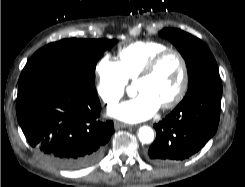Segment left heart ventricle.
<instances>
[{
    "mask_svg": "<svg viewBox=\"0 0 245 187\" xmlns=\"http://www.w3.org/2000/svg\"><path fill=\"white\" fill-rule=\"evenodd\" d=\"M180 82V62L176 56L168 55L162 59L151 76L136 82L135 88L139 93H149L161 106L177 92Z\"/></svg>",
    "mask_w": 245,
    "mask_h": 187,
    "instance_id": "b2bd125f",
    "label": "left heart ventricle"
}]
</instances>
